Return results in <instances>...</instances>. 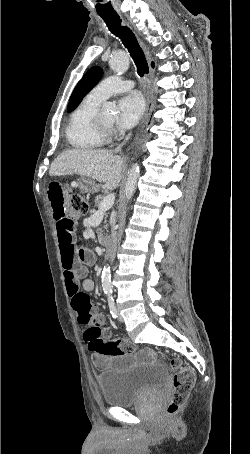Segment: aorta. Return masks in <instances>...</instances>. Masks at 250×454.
<instances>
[{"mask_svg":"<svg viewBox=\"0 0 250 454\" xmlns=\"http://www.w3.org/2000/svg\"><path fill=\"white\" fill-rule=\"evenodd\" d=\"M110 68L118 75L124 74L129 68V56L124 50H118L110 58ZM103 110L114 111L115 106L111 103L103 105ZM140 175V166L133 164L127 174V182L125 185V196L129 200L136 190L137 180ZM102 288L109 300L112 299L113 287L111 283V271L109 266H104L102 271Z\"/></svg>","mask_w":250,"mask_h":454,"instance_id":"762f6f07","label":"aorta"}]
</instances>
